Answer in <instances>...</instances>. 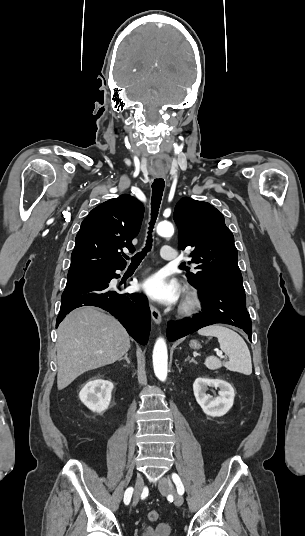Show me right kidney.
I'll return each instance as SVG.
<instances>
[{
  "label": "right kidney",
  "instance_id": "ca27d5eb",
  "mask_svg": "<svg viewBox=\"0 0 305 536\" xmlns=\"http://www.w3.org/2000/svg\"><path fill=\"white\" fill-rule=\"evenodd\" d=\"M114 386L109 380H101L100 376L90 378L85 384L79 398L92 412H105L111 402V392Z\"/></svg>",
  "mask_w": 305,
  "mask_h": 536
}]
</instances>
